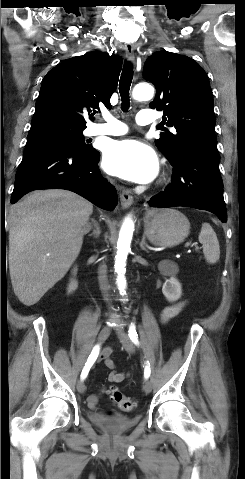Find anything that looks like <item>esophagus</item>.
I'll return each mask as SVG.
<instances>
[{
  "label": "esophagus",
  "instance_id": "1",
  "mask_svg": "<svg viewBox=\"0 0 245 479\" xmlns=\"http://www.w3.org/2000/svg\"><path fill=\"white\" fill-rule=\"evenodd\" d=\"M126 58L131 63H135V53L134 48L131 44H127L125 47ZM120 202L123 208H128L133 203V197L127 190H122L120 192Z\"/></svg>",
  "mask_w": 245,
  "mask_h": 479
}]
</instances>
